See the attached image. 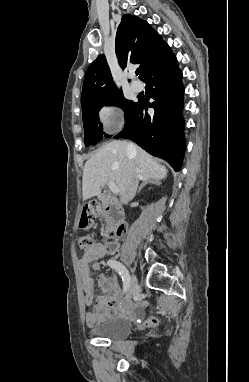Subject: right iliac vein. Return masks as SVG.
<instances>
[{"mask_svg": "<svg viewBox=\"0 0 249 382\" xmlns=\"http://www.w3.org/2000/svg\"><path fill=\"white\" fill-rule=\"evenodd\" d=\"M137 291H138V281L136 276L133 275L130 281L129 288H128L127 297L130 298L131 296L135 295Z\"/></svg>", "mask_w": 249, "mask_h": 382, "instance_id": "right-iliac-vein-1", "label": "right iliac vein"}]
</instances>
